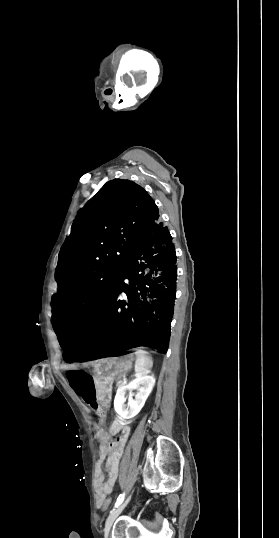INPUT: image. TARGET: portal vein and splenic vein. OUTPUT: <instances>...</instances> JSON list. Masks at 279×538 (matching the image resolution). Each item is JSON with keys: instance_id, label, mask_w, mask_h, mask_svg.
I'll return each instance as SVG.
<instances>
[{"instance_id": "obj_1", "label": "portal vein and splenic vein", "mask_w": 279, "mask_h": 538, "mask_svg": "<svg viewBox=\"0 0 279 538\" xmlns=\"http://www.w3.org/2000/svg\"><path fill=\"white\" fill-rule=\"evenodd\" d=\"M128 377H125L124 383H127Z\"/></svg>"}]
</instances>
